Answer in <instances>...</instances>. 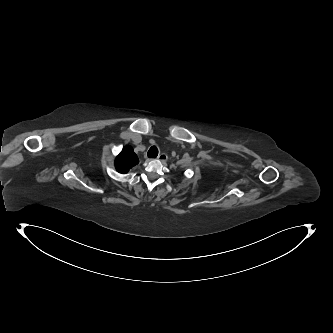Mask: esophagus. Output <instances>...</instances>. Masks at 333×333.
Returning a JSON list of instances; mask_svg holds the SVG:
<instances>
[{
  "mask_svg": "<svg viewBox=\"0 0 333 333\" xmlns=\"http://www.w3.org/2000/svg\"><path fill=\"white\" fill-rule=\"evenodd\" d=\"M167 155L165 153H161L159 156H158V160L159 161H162V162H165L167 160Z\"/></svg>",
  "mask_w": 333,
  "mask_h": 333,
  "instance_id": "esophagus-1",
  "label": "esophagus"
}]
</instances>
